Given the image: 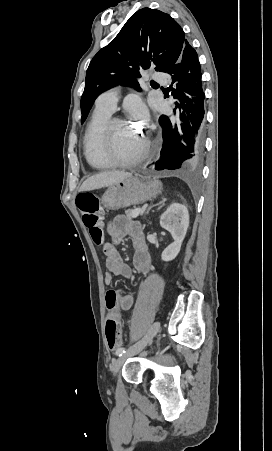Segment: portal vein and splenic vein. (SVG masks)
Returning a JSON list of instances; mask_svg holds the SVG:
<instances>
[{
  "label": "portal vein and splenic vein",
  "instance_id": "obj_1",
  "mask_svg": "<svg viewBox=\"0 0 272 451\" xmlns=\"http://www.w3.org/2000/svg\"><path fill=\"white\" fill-rule=\"evenodd\" d=\"M140 212H142V208H138V210H134V212H132V218H136V216H139Z\"/></svg>",
  "mask_w": 272,
  "mask_h": 451
}]
</instances>
